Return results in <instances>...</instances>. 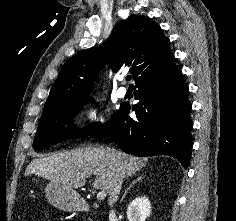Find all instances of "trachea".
I'll list each match as a JSON object with an SVG mask.
<instances>
[{
	"label": "trachea",
	"mask_w": 236,
	"mask_h": 221,
	"mask_svg": "<svg viewBox=\"0 0 236 221\" xmlns=\"http://www.w3.org/2000/svg\"><path fill=\"white\" fill-rule=\"evenodd\" d=\"M126 80L130 81L131 80V75L126 76Z\"/></svg>",
	"instance_id": "trachea-1"
}]
</instances>
